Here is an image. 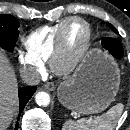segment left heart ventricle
Segmentation results:
<instances>
[{
	"label": "left heart ventricle",
	"instance_id": "b2bd125f",
	"mask_svg": "<svg viewBox=\"0 0 130 130\" xmlns=\"http://www.w3.org/2000/svg\"><path fill=\"white\" fill-rule=\"evenodd\" d=\"M85 38V26L79 21L72 22L66 33L67 55L73 56L76 54L81 49Z\"/></svg>",
	"mask_w": 130,
	"mask_h": 130
}]
</instances>
